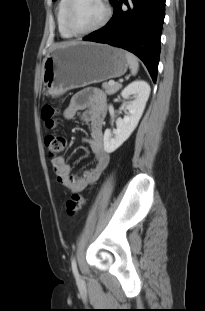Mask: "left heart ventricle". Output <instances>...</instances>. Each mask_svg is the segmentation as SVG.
<instances>
[{
  "instance_id": "obj_1",
  "label": "left heart ventricle",
  "mask_w": 205,
  "mask_h": 311,
  "mask_svg": "<svg viewBox=\"0 0 205 311\" xmlns=\"http://www.w3.org/2000/svg\"><path fill=\"white\" fill-rule=\"evenodd\" d=\"M105 11L99 0H76L71 22L77 30H87L96 26L104 17Z\"/></svg>"
}]
</instances>
